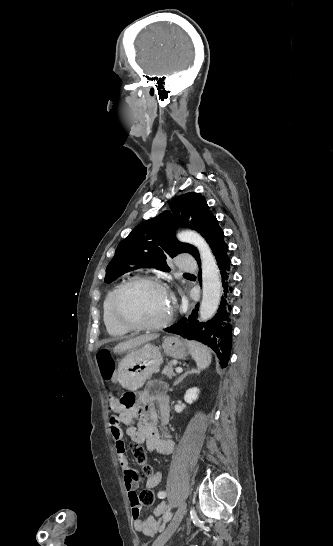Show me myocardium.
Here are the masks:
<instances>
[{
	"mask_svg": "<svg viewBox=\"0 0 333 546\" xmlns=\"http://www.w3.org/2000/svg\"><path fill=\"white\" fill-rule=\"evenodd\" d=\"M136 284H152V285L158 286V287H160V288H162V289H164L165 291L168 292L167 287L164 284V282H162L160 279H158L156 277H153V276H135V277H132V278L124 281L119 286V288L117 289V291L115 293V296H114V299H113L112 309H113V315H114L116 321L121 326H123L124 328H126L128 330H131V331L160 330V329H163V328L167 327L168 325H170L172 323V321L174 320L175 312H176V306H175V303H174L173 300H172V307H171V310H170L168 316L165 319H163L162 321L157 322V323H143V322L134 321V320H131L130 318H128L124 314V312L122 310L123 295L127 291V289H129L130 287H132L133 285H136Z\"/></svg>",
	"mask_w": 333,
	"mask_h": 546,
	"instance_id": "myocardium-1",
	"label": "myocardium"
}]
</instances>
